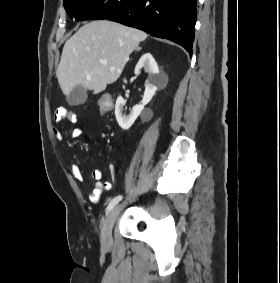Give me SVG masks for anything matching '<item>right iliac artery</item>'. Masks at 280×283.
Returning a JSON list of instances; mask_svg holds the SVG:
<instances>
[{"label": "right iliac artery", "instance_id": "1", "mask_svg": "<svg viewBox=\"0 0 280 283\" xmlns=\"http://www.w3.org/2000/svg\"><path fill=\"white\" fill-rule=\"evenodd\" d=\"M122 198H123V197H122L121 195L114 197V198L110 201V203H109V205H108V207H107V213H108L111 209H113L114 206L117 205V204L122 200Z\"/></svg>", "mask_w": 280, "mask_h": 283}]
</instances>
